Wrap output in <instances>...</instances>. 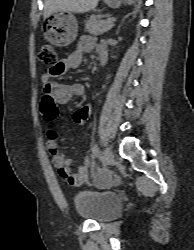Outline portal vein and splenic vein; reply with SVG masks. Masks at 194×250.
Wrapping results in <instances>:
<instances>
[{
    "mask_svg": "<svg viewBox=\"0 0 194 250\" xmlns=\"http://www.w3.org/2000/svg\"><path fill=\"white\" fill-rule=\"evenodd\" d=\"M116 19L115 18H108L107 23H113Z\"/></svg>",
    "mask_w": 194,
    "mask_h": 250,
    "instance_id": "portal-vein-and-splenic-vein-1",
    "label": "portal vein and splenic vein"
}]
</instances>
